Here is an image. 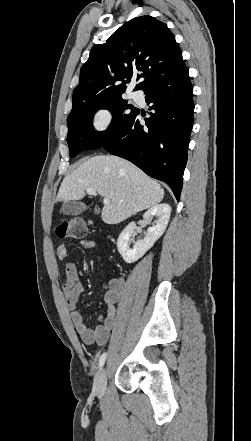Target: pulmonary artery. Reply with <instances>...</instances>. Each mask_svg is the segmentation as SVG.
I'll return each instance as SVG.
<instances>
[{
	"label": "pulmonary artery",
	"mask_w": 251,
	"mask_h": 441,
	"mask_svg": "<svg viewBox=\"0 0 251 441\" xmlns=\"http://www.w3.org/2000/svg\"><path fill=\"white\" fill-rule=\"evenodd\" d=\"M133 98H134V99H137V98H138V95H137L136 93H134V94H133Z\"/></svg>",
	"instance_id": "1"
}]
</instances>
